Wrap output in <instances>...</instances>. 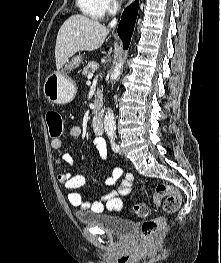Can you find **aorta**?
<instances>
[{
    "mask_svg": "<svg viewBox=\"0 0 221 263\" xmlns=\"http://www.w3.org/2000/svg\"><path fill=\"white\" fill-rule=\"evenodd\" d=\"M123 60H119L112 68L110 80L115 83L122 74ZM104 128L108 135H113L115 131V117L111 109H107L104 116Z\"/></svg>",
    "mask_w": 221,
    "mask_h": 263,
    "instance_id": "obj_1",
    "label": "aorta"
}]
</instances>
